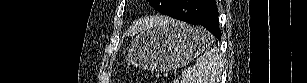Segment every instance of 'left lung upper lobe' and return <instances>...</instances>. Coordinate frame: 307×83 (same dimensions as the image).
<instances>
[{"label": "left lung upper lobe", "instance_id": "obj_1", "mask_svg": "<svg viewBox=\"0 0 307 83\" xmlns=\"http://www.w3.org/2000/svg\"><path fill=\"white\" fill-rule=\"evenodd\" d=\"M151 6L154 9L160 11L161 13L165 14L174 0H148Z\"/></svg>", "mask_w": 307, "mask_h": 83}]
</instances>
